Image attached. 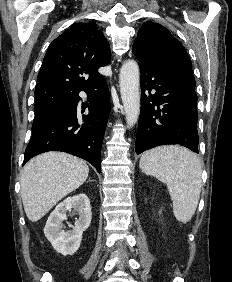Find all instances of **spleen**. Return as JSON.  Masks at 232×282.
Wrapping results in <instances>:
<instances>
[{"label":"spleen","instance_id":"obj_1","mask_svg":"<svg viewBox=\"0 0 232 282\" xmlns=\"http://www.w3.org/2000/svg\"><path fill=\"white\" fill-rule=\"evenodd\" d=\"M139 166L147 175L165 183L178 221L194 215L201 192V163L196 155L179 146H163L145 152Z\"/></svg>","mask_w":232,"mask_h":282}]
</instances>
